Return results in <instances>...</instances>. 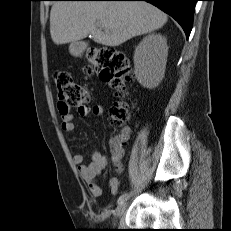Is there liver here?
<instances>
[{
  "label": "liver",
  "mask_w": 231,
  "mask_h": 231,
  "mask_svg": "<svg viewBox=\"0 0 231 231\" xmlns=\"http://www.w3.org/2000/svg\"><path fill=\"white\" fill-rule=\"evenodd\" d=\"M166 22L167 15L146 2L58 1L50 11V34L57 45L91 35L98 44L116 47Z\"/></svg>",
  "instance_id": "6515ba94"
}]
</instances>
